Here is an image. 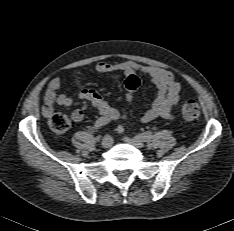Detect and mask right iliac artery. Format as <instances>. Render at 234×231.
I'll list each match as a JSON object with an SVG mask.
<instances>
[{
  "label": "right iliac artery",
  "instance_id": "82829eb1",
  "mask_svg": "<svg viewBox=\"0 0 234 231\" xmlns=\"http://www.w3.org/2000/svg\"><path fill=\"white\" fill-rule=\"evenodd\" d=\"M108 123H109V120L101 117L98 120H96L93 128H94V130H98Z\"/></svg>",
  "mask_w": 234,
  "mask_h": 231
}]
</instances>
